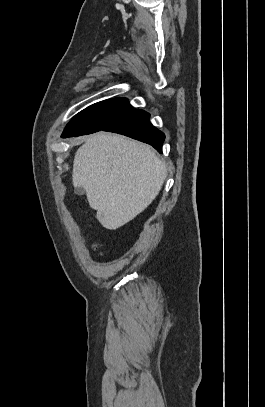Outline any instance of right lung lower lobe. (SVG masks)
<instances>
[{"mask_svg": "<svg viewBox=\"0 0 265 407\" xmlns=\"http://www.w3.org/2000/svg\"><path fill=\"white\" fill-rule=\"evenodd\" d=\"M149 117L150 115L143 110H134L127 116L104 128L103 131L126 135L148 143L161 152L165 135L149 122ZM62 137H71V135H62Z\"/></svg>", "mask_w": 265, "mask_h": 407, "instance_id": "obj_1", "label": "right lung lower lobe"}]
</instances>
